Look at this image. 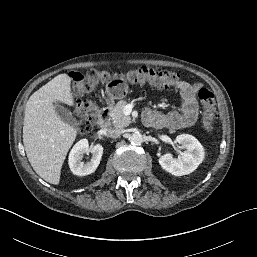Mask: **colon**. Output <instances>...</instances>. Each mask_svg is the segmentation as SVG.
<instances>
[{
    "label": "colon",
    "instance_id": "1",
    "mask_svg": "<svg viewBox=\"0 0 257 257\" xmlns=\"http://www.w3.org/2000/svg\"><path fill=\"white\" fill-rule=\"evenodd\" d=\"M71 78L72 91L75 96H82L92 92L100 83L127 81L133 85L149 84L161 88L175 86L180 81V75L174 71L148 67L133 69L125 74L91 69L86 72H73L71 73ZM198 97L202 107L203 128L207 133H211L216 119L214 94L206 88H201L198 91ZM75 111L81 118L78 124L79 132L86 133L90 131L98 116L97 106L88 101H81L76 105Z\"/></svg>",
    "mask_w": 257,
    "mask_h": 257
}]
</instances>
